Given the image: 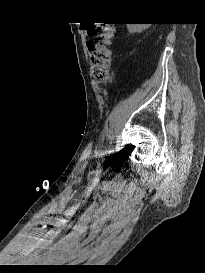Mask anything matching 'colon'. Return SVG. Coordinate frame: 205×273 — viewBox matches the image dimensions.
Here are the masks:
<instances>
[{
    "instance_id": "5ec220e1",
    "label": "colon",
    "mask_w": 205,
    "mask_h": 273,
    "mask_svg": "<svg viewBox=\"0 0 205 273\" xmlns=\"http://www.w3.org/2000/svg\"><path fill=\"white\" fill-rule=\"evenodd\" d=\"M114 23L106 22L98 25H91L88 32L95 35L96 39L89 42V59L92 74L97 83L110 81L111 50L110 45L114 37Z\"/></svg>"
}]
</instances>
